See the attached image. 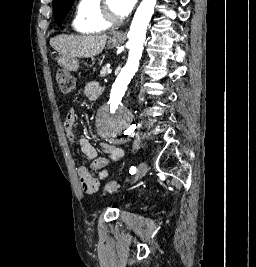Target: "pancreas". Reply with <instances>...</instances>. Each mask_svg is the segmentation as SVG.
I'll return each mask as SVG.
<instances>
[{
	"instance_id": "obj_1",
	"label": "pancreas",
	"mask_w": 256,
	"mask_h": 267,
	"mask_svg": "<svg viewBox=\"0 0 256 267\" xmlns=\"http://www.w3.org/2000/svg\"><path fill=\"white\" fill-rule=\"evenodd\" d=\"M107 70L108 68H102V70H100V78H103V76H106Z\"/></svg>"
}]
</instances>
